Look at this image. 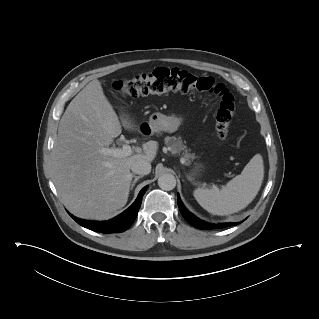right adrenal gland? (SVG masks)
<instances>
[{
    "instance_id": "right-adrenal-gland-1",
    "label": "right adrenal gland",
    "mask_w": 319,
    "mask_h": 319,
    "mask_svg": "<svg viewBox=\"0 0 319 319\" xmlns=\"http://www.w3.org/2000/svg\"><path fill=\"white\" fill-rule=\"evenodd\" d=\"M142 177H143V175L135 176V178H134V180H133V182H132V185H131V190L134 188L136 182H137L140 178H142Z\"/></svg>"
}]
</instances>
